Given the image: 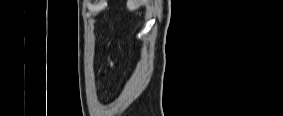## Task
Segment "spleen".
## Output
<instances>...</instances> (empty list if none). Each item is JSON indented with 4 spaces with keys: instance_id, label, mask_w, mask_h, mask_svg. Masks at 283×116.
Returning <instances> with one entry per match:
<instances>
[{
    "instance_id": "spleen-1",
    "label": "spleen",
    "mask_w": 283,
    "mask_h": 116,
    "mask_svg": "<svg viewBox=\"0 0 283 116\" xmlns=\"http://www.w3.org/2000/svg\"><path fill=\"white\" fill-rule=\"evenodd\" d=\"M127 7L130 9V10H135L139 7V4L136 2V1H133V0H129L127 2Z\"/></svg>"
}]
</instances>
